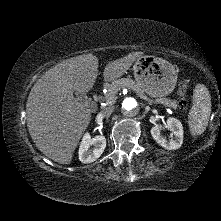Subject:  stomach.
I'll use <instances>...</instances> for the list:
<instances>
[{
	"instance_id": "0dacf381",
	"label": "stomach",
	"mask_w": 221,
	"mask_h": 221,
	"mask_svg": "<svg viewBox=\"0 0 221 221\" xmlns=\"http://www.w3.org/2000/svg\"><path fill=\"white\" fill-rule=\"evenodd\" d=\"M134 78L149 96L161 98L169 95L177 82V71L170 62L153 55H144L135 60Z\"/></svg>"
}]
</instances>
